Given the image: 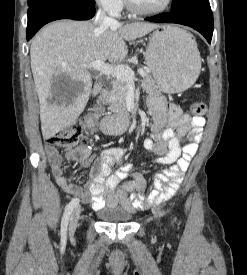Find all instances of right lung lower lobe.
<instances>
[{
  "label": "right lung lower lobe",
  "instance_id": "obj_1",
  "mask_svg": "<svg viewBox=\"0 0 247 275\" xmlns=\"http://www.w3.org/2000/svg\"><path fill=\"white\" fill-rule=\"evenodd\" d=\"M95 15L94 6L53 0L30 6L26 37L30 40L45 24L58 19L88 20Z\"/></svg>",
  "mask_w": 247,
  "mask_h": 275
}]
</instances>
